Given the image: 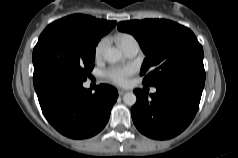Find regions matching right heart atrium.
<instances>
[{
    "mask_svg": "<svg viewBox=\"0 0 238 158\" xmlns=\"http://www.w3.org/2000/svg\"><path fill=\"white\" fill-rule=\"evenodd\" d=\"M106 46V39H101L94 49V56L96 59L100 58L103 54L104 48Z\"/></svg>",
    "mask_w": 238,
    "mask_h": 158,
    "instance_id": "right-heart-atrium-1",
    "label": "right heart atrium"
}]
</instances>
